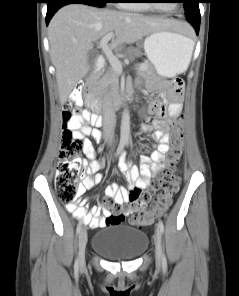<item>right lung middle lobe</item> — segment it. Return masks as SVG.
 I'll return each instance as SVG.
<instances>
[{
	"label": "right lung middle lobe",
	"mask_w": 239,
	"mask_h": 296,
	"mask_svg": "<svg viewBox=\"0 0 239 296\" xmlns=\"http://www.w3.org/2000/svg\"><path fill=\"white\" fill-rule=\"evenodd\" d=\"M83 4L92 5L96 7H103L109 0H77Z\"/></svg>",
	"instance_id": "obj_1"
}]
</instances>
